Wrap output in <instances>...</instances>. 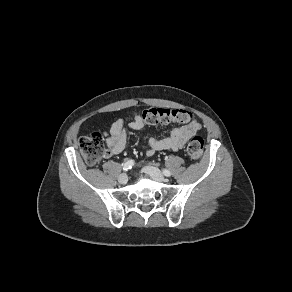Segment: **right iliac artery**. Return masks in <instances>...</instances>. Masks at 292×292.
I'll return each instance as SVG.
<instances>
[{
  "label": "right iliac artery",
  "instance_id": "82829eb1",
  "mask_svg": "<svg viewBox=\"0 0 292 292\" xmlns=\"http://www.w3.org/2000/svg\"><path fill=\"white\" fill-rule=\"evenodd\" d=\"M134 160H128L123 164V170L124 171H128L129 169H131L134 166Z\"/></svg>",
  "mask_w": 292,
  "mask_h": 292
}]
</instances>
